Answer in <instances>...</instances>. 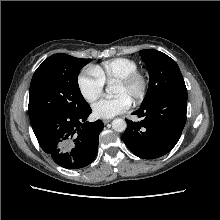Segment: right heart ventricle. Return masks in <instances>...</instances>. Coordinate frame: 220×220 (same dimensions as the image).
<instances>
[{"mask_svg": "<svg viewBox=\"0 0 220 220\" xmlns=\"http://www.w3.org/2000/svg\"><path fill=\"white\" fill-rule=\"evenodd\" d=\"M93 70L104 83L112 84L138 70V64L132 59L118 57L93 66Z\"/></svg>", "mask_w": 220, "mask_h": 220, "instance_id": "right-heart-ventricle-1", "label": "right heart ventricle"}]
</instances>
